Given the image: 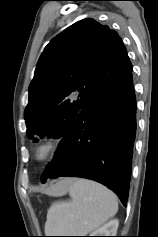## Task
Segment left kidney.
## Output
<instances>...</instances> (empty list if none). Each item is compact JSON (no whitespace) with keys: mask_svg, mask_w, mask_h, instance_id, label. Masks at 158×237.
<instances>
[{"mask_svg":"<svg viewBox=\"0 0 158 237\" xmlns=\"http://www.w3.org/2000/svg\"><path fill=\"white\" fill-rule=\"evenodd\" d=\"M119 226V220L113 219L104 224L101 228L92 232L90 236H116L117 229Z\"/></svg>","mask_w":158,"mask_h":237,"instance_id":"1","label":"left kidney"}]
</instances>
